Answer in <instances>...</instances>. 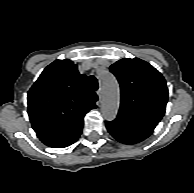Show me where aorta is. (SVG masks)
<instances>
[{
	"label": "aorta",
	"mask_w": 194,
	"mask_h": 193,
	"mask_svg": "<svg viewBox=\"0 0 194 193\" xmlns=\"http://www.w3.org/2000/svg\"><path fill=\"white\" fill-rule=\"evenodd\" d=\"M99 80L103 90L101 112L105 119H115L118 108L120 92L116 78L108 71L99 73Z\"/></svg>",
	"instance_id": "obj_1"
}]
</instances>
